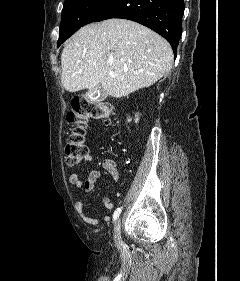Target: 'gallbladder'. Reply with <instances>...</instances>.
<instances>
[{"instance_id":"gallbladder-1","label":"gallbladder","mask_w":240,"mask_h":281,"mask_svg":"<svg viewBox=\"0 0 240 281\" xmlns=\"http://www.w3.org/2000/svg\"><path fill=\"white\" fill-rule=\"evenodd\" d=\"M106 98V93L104 89H100L98 99L104 100Z\"/></svg>"}]
</instances>
